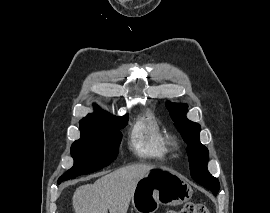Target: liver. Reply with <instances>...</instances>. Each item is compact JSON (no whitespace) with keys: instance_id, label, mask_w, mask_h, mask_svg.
<instances>
[{"instance_id":"liver-1","label":"liver","mask_w":270,"mask_h":213,"mask_svg":"<svg viewBox=\"0 0 270 213\" xmlns=\"http://www.w3.org/2000/svg\"><path fill=\"white\" fill-rule=\"evenodd\" d=\"M154 168L133 164L78 187L72 197L75 213H127L138 181Z\"/></svg>"}]
</instances>
